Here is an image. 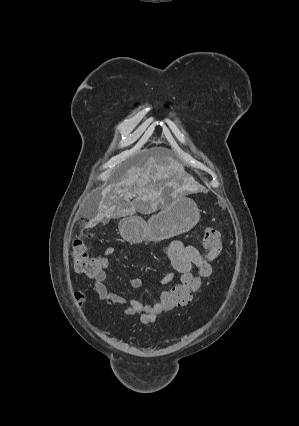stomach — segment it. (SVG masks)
<instances>
[{
  "instance_id": "stomach-1",
  "label": "stomach",
  "mask_w": 299,
  "mask_h": 426,
  "mask_svg": "<svg viewBox=\"0 0 299 426\" xmlns=\"http://www.w3.org/2000/svg\"><path fill=\"white\" fill-rule=\"evenodd\" d=\"M199 219L196 203L188 197L179 196L147 221L136 216L124 218L120 222V230L122 236L133 243L144 240L158 242L188 232Z\"/></svg>"
}]
</instances>
